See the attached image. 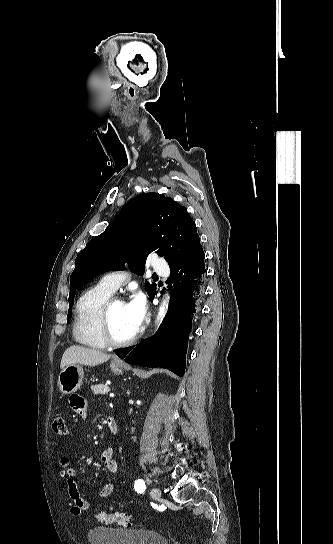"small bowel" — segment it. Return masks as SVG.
<instances>
[{"label":"small bowel","instance_id":"1","mask_svg":"<svg viewBox=\"0 0 333 544\" xmlns=\"http://www.w3.org/2000/svg\"><path fill=\"white\" fill-rule=\"evenodd\" d=\"M69 405L73 412L82 419L87 417V405L83 397L77 394H73L69 398ZM107 426L110 431V426L115 430V433L118 430L117 422L115 419L110 418L107 420ZM111 432V431H110ZM113 449L107 448L103 451L101 456L102 464L105 470L108 473L115 474L119 470V464L116 460L113 459ZM59 469L60 475L65 480L67 491L70 497V512L74 515H80L83 512L87 511L90 507L89 498L82 493L79 489L76 481V471L75 469L69 467V461L66 457H61L59 459ZM114 492V485L112 483L105 484L99 491V496L101 498H107L111 496Z\"/></svg>","mask_w":333,"mask_h":544}]
</instances>
